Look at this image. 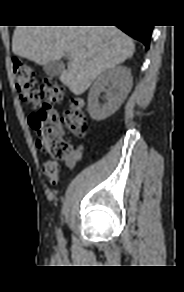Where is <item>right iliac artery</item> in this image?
<instances>
[{
	"label": "right iliac artery",
	"mask_w": 184,
	"mask_h": 292,
	"mask_svg": "<svg viewBox=\"0 0 184 292\" xmlns=\"http://www.w3.org/2000/svg\"><path fill=\"white\" fill-rule=\"evenodd\" d=\"M58 234H59V236H61V232L60 231L58 232Z\"/></svg>",
	"instance_id": "obj_1"
}]
</instances>
